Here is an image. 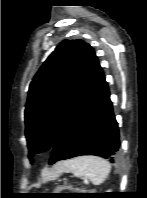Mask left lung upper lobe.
Segmentation results:
<instances>
[{
    "label": "left lung upper lobe",
    "mask_w": 147,
    "mask_h": 198,
    "mask_svg": "<svg viewBox=\"0 0 147 198\" xmlns=\"http://www.w3.org/2000/svg\"><path fill=\"white\" fill-rule=\"evenodd\" d=\"M99 62L83 40H63L34 76L25 109V136L29 158L65 132L94 83Z\"/></svg>",
    "instance_id": "left-lung-upper-lobe-1"
}]
</instances>
